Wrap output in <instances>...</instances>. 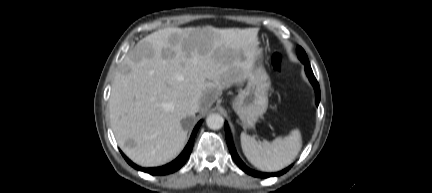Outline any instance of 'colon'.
I'll return each instance as SVG.
<instances>
[{
	"mask_svg": "<svg viewBox=\"0 0 432 193\" xmlns=\"http://www.w3.org/2000/svg\"><path fill=\"white\" fill-rule=\"evenodd\" d=\"M272 65L273 68L277 71H282L283 66H284V61H283V57L281 54L279 53H275L272 57Z\"/></svg>",
	"mask_w": 432,
	"mask_h": 193,
	"instance_id": "5ec220e1",
	"label": "colon"
}]
</instances>
